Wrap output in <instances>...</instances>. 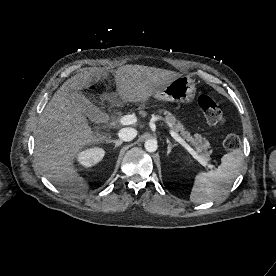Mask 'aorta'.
I'll use <instances>...</instances> for the list:
<instances>
[{"label": "aorta", "mask_w": 276, "mask_h": 276, "mask_svg": "<svg viewBox=\"0 0 276 276\" xmlns=\"http://www.w3.org/2000/svg\"><path fill=\"white\" fill-rule=\"evenodd\" d=\"M144 147L148 152H155L157 150V141L154 139H148L145 141Z\"/></svg>", "instance_id": "1"}]
</instances>
